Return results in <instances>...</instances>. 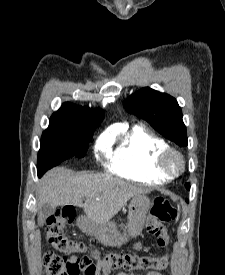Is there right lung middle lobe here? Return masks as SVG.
Here are the masks:
<instances>
[{
	"instance_id": "dd1d6c3e",
	"label": "right lung middle lobe",
	"mask_w": 225,
	"mask_h": 275,
	"mask_svg": "<svg viewBox=\"0 0 225 275\" xmlns=\"http://www.w3.org/2000/svg\"><path fill=\"white\" fill-rule=\"evenodd\" d=\"M97 126L50 122L41 138L38 176L70 157H84Z\"/></svg>"
}]
</instances>
